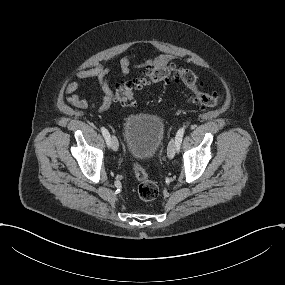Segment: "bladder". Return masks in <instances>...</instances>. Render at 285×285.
Masks as SVG:
<instances>
[{
  "instance_id": "1",
  "label": "bladder",
  "mask_w": 285,
  "mask_h": 285,
  "mask_svg": "<svg viewBox=\"0 0 285 285\" xmlns=\"http://www.w3.org/2000/svg\"><path fill=\"white\" fill-rule=\"evenodd\" d=\"M165 127L155 114L134 113L125 118V145L134 159H150L162 143Z\"/></svg>"
}]
</instances>
